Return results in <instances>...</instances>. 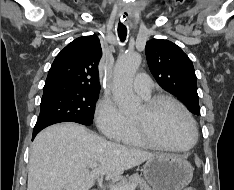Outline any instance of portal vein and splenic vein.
I'll return each instance as SVG.
<instances>
[{
  "label": "portal vein and splenic vein",
  "mask_w": 234,
  "mask_h": 190,
  "mask_svg": "<svg viewBox=\"0 0 234 190\" xmlns=\"http://www.w3.org/2000/svg\"><path fill=\"white\" fill-rule=\"evenodd\" d=\"M97 163H91L89 164V168L94 169L97 167ZM110 190H135L136 186L135 185H127V186H116V185H110Z\"/></svg>",
  "instance_id": "portal-vein-and-splenic-vein-1"
}]
</instances>
